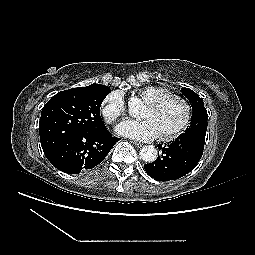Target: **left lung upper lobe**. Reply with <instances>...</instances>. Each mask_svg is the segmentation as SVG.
Returning <instances> with one entry per match:
<instances>
[{"label":"left lung upper lobe","instance_id":"left-lung-upper-lobe-1","mask_svg":"<svg viewBox=\"0 0 255 255\" xmlns=\"http://www.w3.org/2000/svg\"><path fill=\"white\" fill-rule=\"evenodd\" d=\"M181 91L183 95L188 98L193 111L191 117V124L189 127H187L184 135L189 134L192 130L195 129H207L208 115L204 107L203 99L200 98L199 95L191 89L182 88Z\"/></svg>","mask_w":255,"mask_h":255}]
</instances>
